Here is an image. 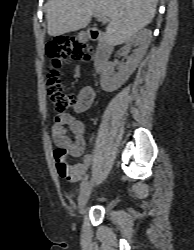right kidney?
I'll list each match as a JSON object with an SVG mask.
<instances>
[{"label":"right kidney","instance_id":"obj_1","mask_svg":"<svg viewBox=\"0 0 194 250\" xmlns=\"http://www.w3.org/2000/svg\"><path fill=\"white\" fill-rule=\"evenodd\" d=\"M151 37L150 31H141L133 35L127 42L123 50H130L132 46L138 47L134 53L127 58V62L118 73L114 72L113 64L108 63L102 74L100 84L104 91L112 92L121 87L130 75L135 71L138 64L144 57Z\"/></svg>","mask_w":194,"mask_h":250}]
</instances>
